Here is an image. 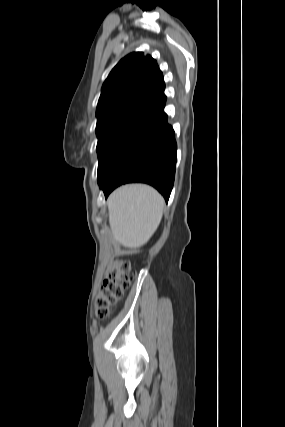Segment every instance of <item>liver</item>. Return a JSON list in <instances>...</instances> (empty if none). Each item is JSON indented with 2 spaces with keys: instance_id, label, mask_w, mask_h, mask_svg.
Masks as SVG:
<instances>
[{
  "instance_id": "obj_1",
  "label": "liver",
  "mask_w": 285,
  "mask_h": 427,
  "mask_svg": "<svg viewBox=\"0 0 285 427\" xmlns=\"http://www.w3.org/2000/svg\"><path fill=\"white\" fill-rule=\"evenodd\" d=\"M107 205L114 239L124 247L139 248L157 230L165 203L154 188L130 184L113 191Z\"/></svg>"
}]
</instances>
